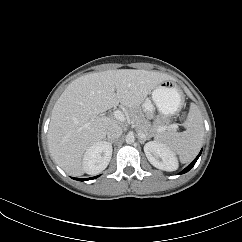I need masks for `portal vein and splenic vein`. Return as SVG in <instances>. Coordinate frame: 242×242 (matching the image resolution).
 <instances>
[{
	"instance_id": "18ae733b",
	"label": "portal vein and splenic vein",
	"mask_w": 242,
	"mask_h": 242,
	"mask_svg": "<svg viewBox=\"0 0 242 242\" xmlns=\"http://www.w3.org/2000/svg\"><path fill=\"white\" fill-rule=\"evenodd\" d=\"M114 117L119 120L120 122H124L126 121L127 117L125 116V114L123 112H121L120 110H116L113 112ZM178 126L173 124L170 125L169 127H166V129H177ZM141 137H146L144 134L140 135Z\"/></svg>"
}]
</instances>
